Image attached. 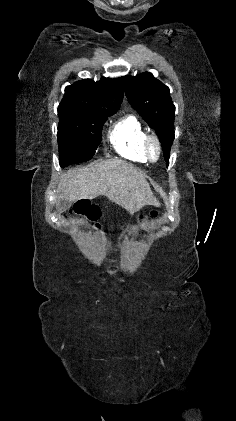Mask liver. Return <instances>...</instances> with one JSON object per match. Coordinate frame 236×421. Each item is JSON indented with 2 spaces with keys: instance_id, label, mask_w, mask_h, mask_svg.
Instances as JSON below:
<instances>
[{
  "instance_id": "liver-1",
  "label": "liver",
  "mask_w": 236,
  "mask_h": 421,
  "mask_svg": "<svg viewBox=\"0 0 236 421\" xmlns=\"http://www.w3.org/2000/svg\"><path fill=\"white\" fill-rule=\"evenodd\" d=\"M57 192L58 196L67 200H91L104 194L126 208L130 215L140 211L145 204L160 206L143 172L120 158L90 162L87 166L67 170L61 176Z\"/></svg>"
}]
</instances>
